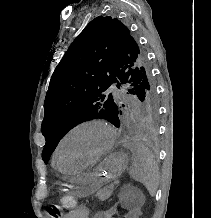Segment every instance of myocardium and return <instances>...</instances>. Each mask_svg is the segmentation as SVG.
<instances>
[{
  "label": "myocardium",
  "mask_w": 211,
  "mask_h": 218,
  "mask_svg": "<svg viewBox=\"0 0 211 218\" xmlns=\"http://www.w3.org/2000/svg\"><path fill=\"white\" fill-rule=\"evenodd\" d=\"M88 126H95V127L101 128L107 134L108 141L106 145L104 146V148L101 149L92 160H90L89 162L85 164L79 165L78 168L83 169V168H87L89 166L94 165L97 161H99L102 157H104L107 153L111 151L116 141V133L114 129L112 128V126L103 119H99V118L86 119V120L80 121L79 123L71 127L59 140L55 148V153H54L55 160L58 163H59L60 149L63 143L66 141V139L70 137L72 134H74L75 132H77L78 130L88 127Z\"/></svg>",
  "instance_id": "myocardium-1"
}]
</instances>
